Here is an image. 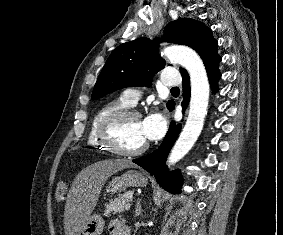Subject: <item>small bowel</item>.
Masks as SVG:
<instances>
[{
    "mask_svg": "<svg viewBox=\"0 0 283 235\" xmlns=\"http://www.w3.org/2000/svg\"><path fill=\"white\" fill-rule=\"evenodd\" d=\"M119 224H122L119 221H112L109 225V231L111 232V234L113 235H118V228H119Z\"/></svg>",
    "mask_w": 283,
    "mask_h": 235,
    "instance_id": "c3829d8e",
    "label": "small bowel"
}]
</instances>
